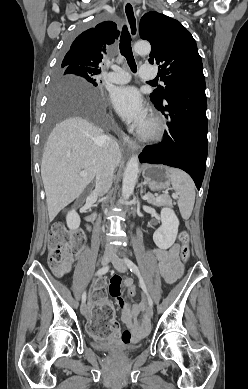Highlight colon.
Segmentation results:
<instances>
[{
    "instance_id": "obj_1",
    "label": "colon",
    "mask_w": 248,
    "mask_h": 389,
    "mask_svg": "<svg viewBox=\"0 0 248 389\" xmlns=\"http://www.w3.org/2000/svg\"><path fill=\"white\" fill-rule=\"evenodd\" d=\"M181 243V259L187 261L190 256V236L187 231H182L179 234ZM83 247V239L80 234L71 232L64 224L57 223L51 228L48 237V263L50 269L56 275H63L69 268L72 254L78 253ZM111 282V281H110ZM107 278H97L93 283L94 296L92 302L93 321L90 326H87V333H92L93 337H97V344H106L108 340H113L117 337V324L114 321V310L107 302L106 287ZM138 290L137 284H130L127 291L129 297H134ZM108 325V326H107ZM123 341L127 339L122 338Z\"/></svg>"
}]
</instances>
